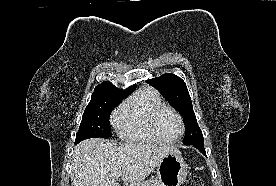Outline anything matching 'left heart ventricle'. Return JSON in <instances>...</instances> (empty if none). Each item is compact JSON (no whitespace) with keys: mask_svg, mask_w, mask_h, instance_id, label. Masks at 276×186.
Returning <instances> with one entry per match:
<instances>
[{"mask_svg":"<svg viewBox=\"0 0 276 186\" xmlns=\"http://www.w3.org/2000/svg\"><path fill=\"white\" fill-rule=\"evenodd\" d=\"M159 132L166 139L176 138L181 131V125L176 115L169 111H163L157 121Z\"/></svg>","mask_w":276,"mask_h":186,"instance_id":"left-heart-ventricle-1","label":"left heart ventricle"}]
</instances>
